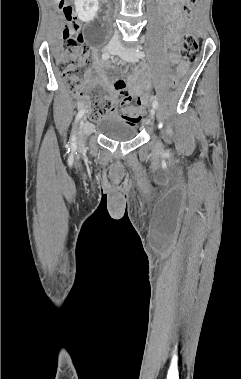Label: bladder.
<instances>
[{"label": "bladder", "instance_id": "1", "mask_svg": "<svg viewBox=\"0 0 241 379\" xmlns=\"http://www.w3.org/2000/svg\"><path fill=\"white\" fill-rule=\"evenodd\" d=\"M98 130L106 138L117 142L131 141L137 134L134 124L123 120L115 114L102 117L98 124Z\"/></svg>", "mask_w": 241, "mask_h": 379}]
</instances>
